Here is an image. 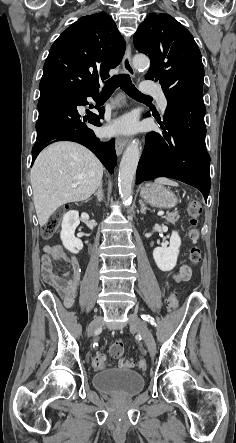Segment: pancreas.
Wrapping results in <instances>:
<instances>
[{"label": "pancreas", "mask_w": 236, "mask_h": 443, "mask_svg": "<svg viewBox=\"0 0 236 443\" xmlns=\"http://www.w3.org/2000/svg\"><path fill=\"white\" fill-rule=\"evenodd\" d=\"M167 222L174 224L179 219L178 212H172L166 216H164Z\"/></svg>", "instance_id": "cf45deb5"}]
</instances>
